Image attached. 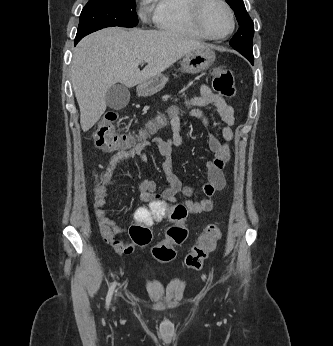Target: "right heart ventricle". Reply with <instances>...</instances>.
Masks as SVG:
<instances>
[{"mask_svg": "<svg viewBox=\"0 0 333 346\" xmlns=\"http://www.w3.org/2000/svg\"><path fill=\"white\" fill-rule=\"evenodd\" d=\"M153 20L162 30L178 33L195 40H206L196 27L191 11L192 0H155Z\"/></svg>", "mask_w": 333, "mask_h": 346, "instance_id": "right-heart-ventricle-1", "label": "right heart ventricle"}]
</instances>
